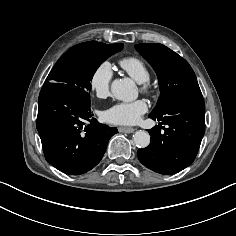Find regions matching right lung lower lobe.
<instances>
[{
	"instance_id": "98d812e1",
	"label": "right lung lower lobe",
	"mask_w": 236,
	"mask_h": 236,
	"mask_svg": "<svg viewBox=\"0 0 236 236\" xmlns=\"http://www.w3.org/2000/svg\"><path fill=\"white\" fill-rule=\"evenodd\" d=\"M90 106L69 85L50 83L41 89L36 127L47 162L63 173L79 175L94 168L118 133L93 118Z\"/></svg>"
}]
</instances>
